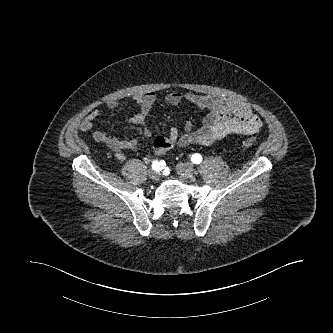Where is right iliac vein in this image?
Listing matches in <instances>:
<instances>
[{"label": "right iliac vein", "mask_w": 333, "mask_h": 333, "mask_svg": "<svg viewBox=\"0 0 333 333\" xmlns=\"http://www.w3.org/2000/svg\"><path fill=\"white\" fill-rule=\"evenodd\" d=\"M149 177L154 181H158L161 177V173L159 171H156V170H150L149 171Z\"/></svg>", "instance_id": "obj_1"}]
</instances>
